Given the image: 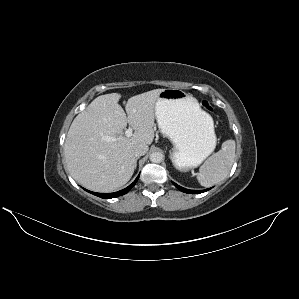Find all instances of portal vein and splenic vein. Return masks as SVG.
Returning a JSON list of instances; mask_svg holds the SVG:
<instances>
[{"mask_svg": "<svg viewBox=\"0 0 299 299\" xmlns=\"http://www.w3.org/2000/svg\"><path fill=\"white\" fill-rule=\"evenodd\" d=\"M133 133V129L131 127H129L128 129H126L125 131V136L126 137H131ZM118 138L116 137H111V136H105L103 137V140L105 141H116Z\"/></svg>", "mask_w": 299, "mask_h": 299, "instance_id": "1", "label": "portal vein and splenic vein"}]
</instances>
